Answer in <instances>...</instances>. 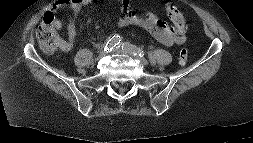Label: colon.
Segmentation results:
<instances>
[{
    "mask_svg": "<svg viewBox=\"0 0 253 143\" xmlns=\"http://www.w3.org/2000/svg\"><path fill=\"white\" fill-rule=\"evenodd\" d=\"M174 17L179 28L184 29L185 24L178 10H174ZM36 37L40 48L46 52H53L60 44V38L54 26V15L52 12L45 13L42 22L36 30ZM189 51L187 48H182L179 54V61L185 64L188 61Z\"/></svg>",
    "mask_w": 253,
    "mask_h": 143,
    "instance_id": "obj_1",
    "label": "colon"
}]
</instances>
